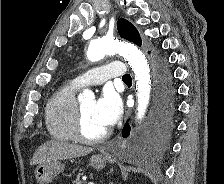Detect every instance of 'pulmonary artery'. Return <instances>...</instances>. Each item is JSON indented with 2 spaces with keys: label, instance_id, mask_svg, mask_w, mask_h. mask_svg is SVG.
Listing matches in <instances>:
<instances>
[{
  "label": "pulmonary artery",
  "instance_id": "pulmonary-artery-1",
  "mask_svg": "<svg viewBox=\"0 0 224 184\" xmlns=\"http://www.w3.org/2000/svg\"><path fill=\"white\" fill-rule=\"evenodd\" d=\"M125 75H127V71L124 65L120 61H111L106 65L79 74L73 82L78 87L101 85L108 79L123 78Z\"/></svg>",
  "mask_w": 224,
  "mask_h": 184
}]
</instances>
